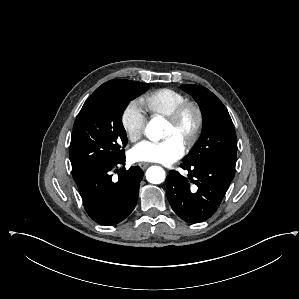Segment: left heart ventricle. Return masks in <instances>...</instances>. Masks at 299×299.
<instances>
[{
	"label": "left heart ventricle",
	"mask_w": 299,
	"mask_h": 299,
	"mask_svg": "<svg viewBox=\"0 0 299 299\" xmlns=\"http://www.w3.org/2000/svg\"><path fill=\"white\" fill-rule=\"evenodd\" d=\"M195 125V115L190 112L188 113L179 127L172 126L169 122L167 123L164 138L175 137L181 143L184 144L185 140L188 139L193 131Z\"/></svg>",
	"instance_id": "left-heart-ventricle-1"
}]
</instances>
